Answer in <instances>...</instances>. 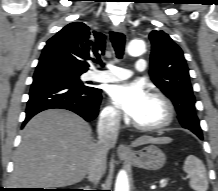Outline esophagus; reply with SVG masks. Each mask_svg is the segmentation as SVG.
<instances>
[{
    "instance_id": "1",
    "label": "esophagus",
    "mask_w": 218,
    "mask_h": 191,
    "mask_svg": "<svg viewBox=\"0 0 218 191\" xmlns=\"http://www.w3.org/2000/svg\"><path fill=\"white\" fill-rule=\"evenodd\" d=\"M114 30L122 33H126V28L124 24H119L114 27ZM117 153L119 156H128L131 154L130 148L126 144H120L117 149Z\"/></svg>"
}]
</instances>
